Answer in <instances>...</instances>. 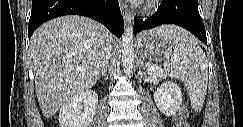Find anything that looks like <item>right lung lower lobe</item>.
<instances>
[{
	"label": "right lung lower lobe",
	"mask_w": 243,
	"mask_h": 127,
	"mask_svg": "<svg viewBox=\"0 0 243 127\" xmlns=\"http://www.w3.org/2000/svg\"><path fill=\"white\" fill-rule=\"evenodd\" d=\"M63 15H82L105 25L111 33L121 37L124 21L118 0H32L28 36L44 22Z\"/></svg>",
	"instance_id": "obj_1"
}]
</instances>
